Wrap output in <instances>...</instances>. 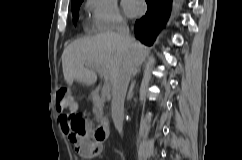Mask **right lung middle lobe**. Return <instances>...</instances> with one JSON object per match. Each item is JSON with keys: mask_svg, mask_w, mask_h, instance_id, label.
Here are the masks:
<instances>
[{"mask_svg": "<svg viewBox=\"0 0 242 160\" xmlns=\"http://www.w3.org/2000/svg\"><path fill=\"white\" fill-rule=\"evenodd\" d=\"M83 0L72 1V14L74 18H78V10Z\"/></svg>", "mask_w": 242, "mask_h": 160, "instance_id": "dd1d6c3e", "label": "right lung middle lobe"}]
</instances>
